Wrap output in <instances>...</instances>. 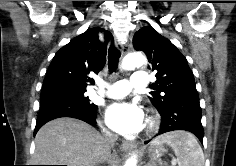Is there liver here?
Here are the masks:
<instances>
[{
    "mask_svg": "<svg viewBox=\"0 0 236 166\" xmlns=\"http://www.w3.org/2000/svg\"><path fill=\"white\" fill-rule=\"evenodd\" d=\"M32 162L67 166L108 162L116 166L115 156L105 148L103 136L89 124L67 117L52 120L38 131Z\"/></svg>",
    "mask_w": 236,
    "mask_h": 166,
    "instance_id": "liver-1",
    "label": "liver"
}]
</instances>
